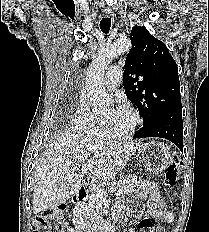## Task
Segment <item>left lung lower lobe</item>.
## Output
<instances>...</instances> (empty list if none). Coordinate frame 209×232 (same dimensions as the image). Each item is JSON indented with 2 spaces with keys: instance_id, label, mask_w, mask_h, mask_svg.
<instances>
[{
  "instance_id": "obj_1",
  "label": "left lung lower lobe",
  "mask_w": 209,
  "mask_h": 232,
  "mask_svg": "<svg viewBox=\"0 0 209 232\" xmlns=\"http://www.w3.org/2000/svg\"><path fill=\"white\" fill-rule=\"evenodd\" d=\"M159 137L173 142L183 152L182 111L163 115L150 126L138 129L133 138Z\"/></svg>"
}]
</instances>
